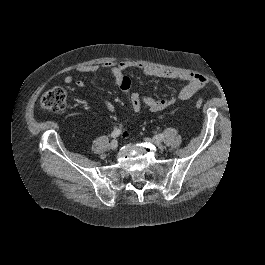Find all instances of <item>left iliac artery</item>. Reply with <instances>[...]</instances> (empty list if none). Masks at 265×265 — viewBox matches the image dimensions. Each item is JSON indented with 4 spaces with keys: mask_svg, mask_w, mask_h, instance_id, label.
Returning <instances> with one entry per match:
<instances>
[{
    "mask_svg": "<svg viewBox=\"0 0 265 265\" xmlns=\"http://www.w3.org/2000/svg\"><path fill=\"white\" fill-rule=\"evenodd\" d=\"M157 141H162L163 140V134H158L154 137Z\"/></svg>",
    "mask_w": 265,
    "mask_h": 265,
    "instance_id": "left-iliac-artery-1",
    "label": "left iliac artery"
}]
</instances>
